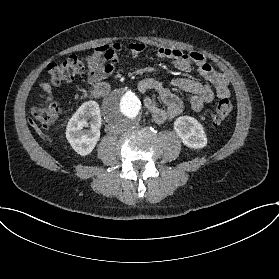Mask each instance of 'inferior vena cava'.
I'll return each instance as SVG.
<instances>
[{
	"instance_id": "obj_1",
	"label": "inferior vena cava",
	"mask_w": 279,
	"mask_h": 279,
	"mask_svg": "<svg viewBox=\"0 0 279 279\" xmlns=\"http://www.w3.org/2000/svg\"><path fill=\"white\" fill-rule=\"evenodd\" d=\"M105 131L107 134L112 135V136L120 135L123 132V130L120 127L113 126V125H107L105 127Z\"/></svg>"
}]
</instances>
